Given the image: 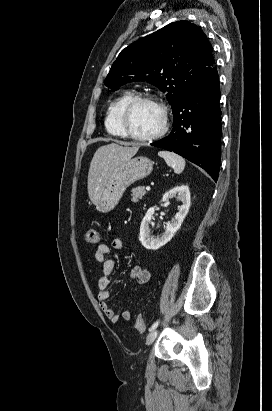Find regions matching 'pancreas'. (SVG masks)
I'll list each match as a JSON object with an SVG mask.
<instances>
[{
	"instance_id": "cf45deb5",
	"label": "pancreas",
	"mask_w": 272,
	"mask_h": 411,
	"mask_svg": "<svg viewBox=\"0 0 272 411\" xmlns=\"http://www.w3.org/2000/svg\"><path fill=\"white\" fill-rule=\"evenodd\" d=\"M146 190L144 186H138L132 189V202L137 203L139 202L143 196L146 194Z\"/></svg>"
}]
</instances>
